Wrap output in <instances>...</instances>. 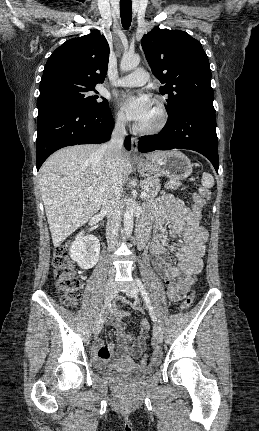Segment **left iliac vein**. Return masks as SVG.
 Returning a JSON list of instances; mask_svg holds the SVG:
<instances>
[{"label":"left iliac vein","mask_w":259,"mask_h":431,"mask_svg":"<svg viewBox=\"0 0 259 431\" xmlns=\"http://www.w3.org/2000/svg\"><path fill=\"white\" fill-rule=\"evenodd\" d=\"M126 294L130 298H136L138 296V294H139V287H138V285L136 283H133L126 290ZM153 337H154V340L157 343H159V344L162 343V341H163V334H162L161 329L157 325H154V327H153Z\"/></svg>","instance_id":"4c4485c4"}]
</instances>
